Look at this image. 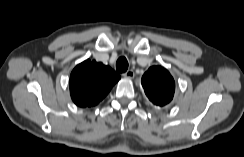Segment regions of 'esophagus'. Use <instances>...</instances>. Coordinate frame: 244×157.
Masks as SVG:
<instances>
[{"instance_id": "obj_1", "label": "esophagus", "mask_w": 244, "mask_h": 157, "mask_svg": "<svg viewBox=\"0 0 244 157\" xmlns=\"http://www.w3.org/2000/svg\"><path fill=\"white\" fill-rule=\"evenodd\" d=\"M122 76L127 79H133L135 76V73L133 70L130 69V70H127L125 73H123Z\"/></svg>"}]
</instances>
